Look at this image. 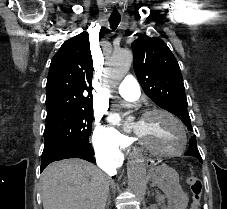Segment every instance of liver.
Masks as SVG:
<instances>
[{"label": "liver", "mask_w": 227, "mask_h": 209, "mask_svg": "<svg viewBox=\"0 0 227 209\" xmlns=\"http://www.w3.org/2000/svg\"><path fill=\"white\" fill-rule=\"evenodd\" d=\"M43 209H104L108 179L82 159L52 163L42 173Z\"/></svg>", "instance_id": "liver-1"}]
</instances>
